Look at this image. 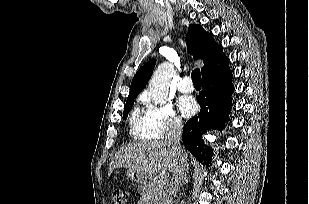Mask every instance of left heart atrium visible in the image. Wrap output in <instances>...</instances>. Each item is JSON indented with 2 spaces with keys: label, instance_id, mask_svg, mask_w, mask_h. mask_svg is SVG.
Wrapping results in <instances>:
<instances>
[{
  "label": "left heart atrium",
  "instance_id": "left-heart-atrium-1",
  "mask_svg": "<svg viewBox=\"0 0 309 204\" xmlns=\"http://www.w3.org/2000/svg\"><path fill=\"white\" fill-rule=\"evenodd\" d=\"M178 107L182 115L188 117L195 113L197 105L192 97L183 96L178 101Z\"/></svg>",
  "mask_w": 309,
  "mask_h": 204
}]
</instances>
